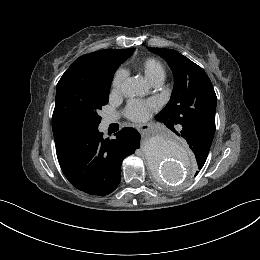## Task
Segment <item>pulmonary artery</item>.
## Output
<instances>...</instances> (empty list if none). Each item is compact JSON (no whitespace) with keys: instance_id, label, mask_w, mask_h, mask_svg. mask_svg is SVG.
<instances>
[{"instance_id":"pulmonary-artery-1","label":"pulmonary artery","mask_w":260,"mask_h":260,"mask_svg":"<svg viewBox=\"0 0 260 260\" xmlns=\"http://www.w3.org/2000/svg\"><path fill=\"white\" fill-rule=\"evenodd\" d=\"M162 84V82H155V83H152V85L154 86V87H158V86H160ZM106 121L107 122H113L114 121V118L113 117H108L107 119H106Z\"/></svg>"}]
</instances>
